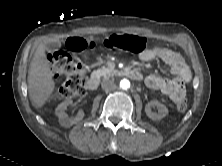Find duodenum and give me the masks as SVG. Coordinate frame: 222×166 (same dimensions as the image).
I'll list each match as a JSON object with an SVG mask.
<instances>
[{"instance_id":"410a0bca","label":"duodenum","mask_w":222,"mask_h":166,"mask_svg":"<svg viewBox=\"0 0 222 166\" xmlns=\"http://www.w3.org/2000/svg\"><path fill=\"white\" fill-rule=\"evenodd\" d=\"M122 74L134 80L141 79V74L134 69H123ZM99 82H100L99 75L94 74L87 80L86 87L89 91H94L98 88Z\"/></svg>"}]
</instances>
